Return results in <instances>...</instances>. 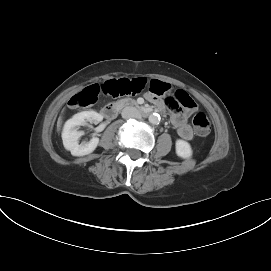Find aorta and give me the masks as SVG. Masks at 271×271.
Listing matches in <instances>:
<instances>
[{
    "label": "aorta",
    "instance_id": "obj_1",
    "mask_svg": "<svg viewBox=\"0 0 271 271\" xmlns=\"http://www.w3.org/2000/svg\"><path fill=\"white\" fill-rule=\"evenodd\" d=\"M148 120L151 124H158L160 122V115L157 113L150 114Z\"/></svg>",
    "mask_w": 271,
    "mask_h": 271
}]
</instances>
